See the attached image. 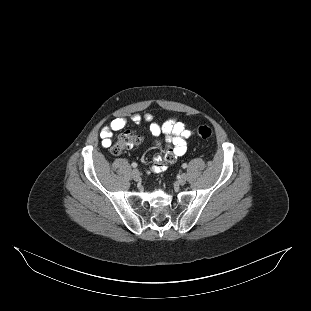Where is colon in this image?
<instances>
[{
    "instance_id": "5ec220e1",
    "label": "colon",
    "mask_w": 311,
    "mask_h": 311,
    "mask_svg": "<svg viewBox=\"0 0 311 311\" xmlns=\"http://www.w3.org/2000/svg\"><path fill=\"white\" fill-rule=\"evenodd\" d=\"M195 133L202 139H209L213 135V130L207 125H200L195 129ZM141 140L142 138L137 133L133 131H125L118 136L110 150L112 154L119 155L139 144Z\"/></svg>"
}]
</instances>
